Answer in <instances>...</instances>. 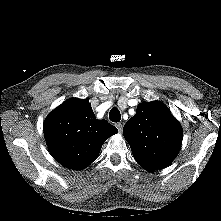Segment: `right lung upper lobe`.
Masks as SVG:
<instances>
[{
    "label": "right lung upper lobe",
    "instance_id": "right-lung-upper-lobe-1",
    "mask_svg": "<svg viewBox=\"0 0 221 221\" xmlns=\"http://www.w3.org/2000/svg\"><path fill=\"white\" fill-rule=\"evenodd\" d=\"M44 137L52 156L68 169L81 170L98 156L102 144L118 129L98 120L86 99L71 98L44 122Z\"/></svg>",
    "mask_w": 221,
    "mask_h": 221
}]
</instances>
